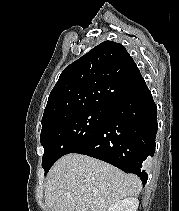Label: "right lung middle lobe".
I'll list each match as a JSON object with an SVG mask.
<instances>
[{"instance_id": "obj_1", "label": "right lung middle lobe", "mask_w": 179, "mask_h": 211, "mask_svg": "<svg viewBox=\"0 0 179 211\" xmlns=\"http://www.w3.org/2000/svg\"><path fill=\"white\" fill-rule=\"evenodd\" d=\"M109 111V108H90L60 117L43 127L40 140L45 150L42 159L45 174L60 157L92 139Z\"/></svg>"}]
</instances>
